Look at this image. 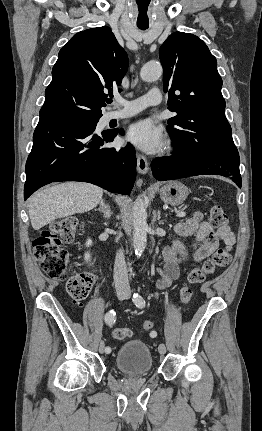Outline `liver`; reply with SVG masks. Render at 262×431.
<instances>
[{"label":"liver","instance_id":"1","mask_svg":"<svg viewBox=\"0 0 262 431\" xmlns=\"http://www.w3.org/2000/svg\"><path fill=\"white\" fill-rule=\"evenodd\" d=\"M103 189L82 182H68L48 187L29 198V217L34 230L58 219L84 213L102 200Z\"/></svg>","mask_w":262,"mask_h":431}]
</instances>
